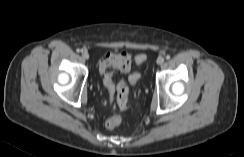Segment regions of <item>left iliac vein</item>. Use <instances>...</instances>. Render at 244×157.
Returning <instances> with one entry per match:
<instances>
[{"label": "left iliac vein", "instance_id": "left-iliac-vein-1", "mask_svg": "<svg viewBox=\"0 0 244 157\" xmlns=\"http://www.w3.org/2000/svg\"><path fill=\"white\" fill-rule=\"evenodd\" d=\"M156 62H157V64L161 65V64L164 63V58L163 57H158Z\"/></svg>", "mask_w": 244, "mask_h": 157}]
</instances>
